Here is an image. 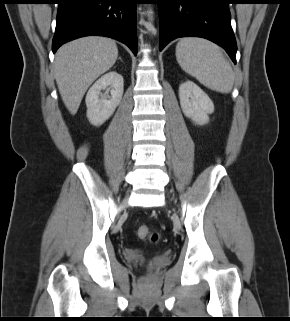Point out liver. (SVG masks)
Here are the masks:
<instances>
[{"label": "liver", "mask_w": 290, "mask_h": 321, "mask_svg": "<svg viewBox=\"0 0 290 321\" xmlns=\"http://www.w3.org/2000/svg\"><path fill=\"white\" fill-rule=\"evenodd\" d=\"M118 48L110 38L88 36L61 46L55 56L54 76L62 100L72 115L88 87L116 62Z\"/></svg>", "instance_id": "obj_1"}]
</instances>
